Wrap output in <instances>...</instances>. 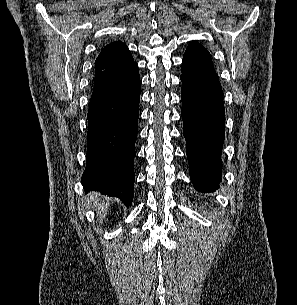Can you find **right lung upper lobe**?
Listing matches in <instances>:
<instances>
[{
	"instance_id": "1",
	"label": "right lung upper lobe",
	"mask_w": 297,
	"mask_h": 305,
	"mask_svg": "<svg viewBox=\"0 0 297 305\" xmlns=\"http://www.w3.org/2000/svg\"><path fill=\"white\" fill-rule=\"evenodd\" d=\"M133 57L127 46L115 41L105 46L95 61L94 84L112 78L133 64Z\"/></svg>"
}]
</instances>
